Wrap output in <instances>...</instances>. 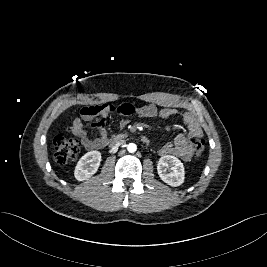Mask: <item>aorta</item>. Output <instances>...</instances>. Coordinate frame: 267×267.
<instances>
[{"label": "aorta", "mask_w": 267, "mask_h": 267, "mask_svg": "<svg viewBox=\"0 0 267 267\" xmlns=\"http://www.w3.org/2000/svg\"><path fill=\"white\" fill-rule=\"evenodd\" d=\"M127 150H128L130 153L135 152V151L137 150V146H136V144H134V143H129V144L127 145Z\"/></svg>", "instance_id": "aorta-1"}]
</instances>
